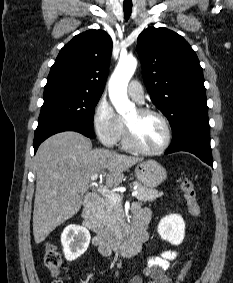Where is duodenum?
<instances>
[{"label":"duodenum","mask_w":233,"mask_h":283,"mask_svg":"<svg viewBox=\"0 0 233 283\" xmlns=\"http://www.w3.org/2000/svg\"><path fill=\"white\" fill-rule=\"evenodd\" d=\"M100 203L101 200L97 195H89L82 211V219L84 226L95 233L102 250L111 251L113 249L123 256H132L138 253L147 238L144 225L134 224L125 238H117L104 227L97 216Z\"/></svg>","instance_id":"410a0bca"}]
</instances>
